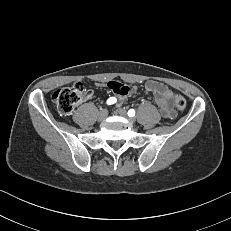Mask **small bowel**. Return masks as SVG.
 Here are the masks:
<instances>
[{
    "label": "small bowel",
    "instance_id": "obj_1",
    "mask_svg": "<svg viewBox=\"0 0 231 231\" xmlns=\"http://www.w3.org/2000/svg\"><path fill=\"white\" fill-rule=\"evenodd\" d=\"M109 88L120 96L126 95L129 90L127 86L115 82L110 83ZM145 88L153 94L161 115L167 119H174L176 112L171 106L172 92L164 84L156 81H148Z\"/></svg>",
    "mask_w": 231,
    "mask_h": 231
}]
</instances>
